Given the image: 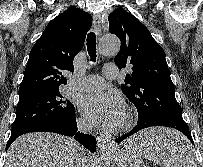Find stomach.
Returning a JSON list of instances; mask_svg holds the SVG:
<instances>
[{"label": "stomach", "mask_w": 203, "mask_h": 167, "mask_svg": "<svg viewBox=\"0 0 203 167\" xmlns=\"http://www.w3.org/2000/svg\"><path fill=\"white\" fill-rule=\"evenodd\" d=\"M154 135L158 134L160 132H164V130L161 129H155ZM153 130H147L144 131L141 135V137L145 138L146 135H150ZM150 140V137L147 139H144L141 142H145ZM137 144V143H136ZM134 143H126L125 149L122 151L117 152L114 155V160L117 163L118 167H146L142 164V156L138 153L137 148L135 147Z\"/></svg>", "instance_id": "stomach-1"}]
</instances>
